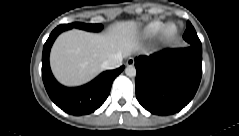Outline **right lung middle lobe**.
<instances>
[{"label": "right lung middle lobe", "instance_id": "1", "mask_svg": "<svg viewBox=\"0 0 239 136\" xmlns=\"http://www.w3.org/2000/svg\"><path fill=\"white\" fill-rule=\"evenodd\" d=\"M63 30H68L71 28H79L87 31L98 32L101 31L103 26L101 24H86V23H71L65 25H59Z\"/></svg>", "mask_w": 239, "mask_h": 136}]
</instances>
